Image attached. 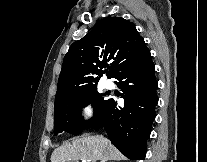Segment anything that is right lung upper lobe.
I'll return each instance as SVG.
<instances>
[{
	"label": "right lung upper lobe",
	"mask_w": 207,
	"mask_h": 162,
	"mask_svg": "<svg viewBox=\"0 0 207 162\" xmlns=\"http://www.w3.org/2000/svg\"><path fill=\"white\" fill-rule=\"evenodd\" d=\"M150 54L133 23L122 17L100 20L64 57L55 99L97 88L102 69L115 78L128 66Z\"/></svg>",
	"instance_id": "right-lung-upper-lobe-1"
}]
</instances>
